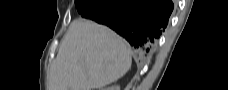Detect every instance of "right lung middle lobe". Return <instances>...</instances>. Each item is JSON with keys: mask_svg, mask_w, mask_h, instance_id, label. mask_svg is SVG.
<instances>
[{"mask_svg": "<svg viewBox=\"0 0 228 90\" xmlns=\"http://www.w3.org/2000/svg\"><path fill=\"white\" fill-rule=\"evenodd\" d=\"M104 2V0H75V5L78 12L83 17L88 13H94L97 11L104 4Z\"/></svg>", "mask_w": 228, "mask_h": 90, "instance_id": "right-lung-middle-lobe-1", "label": "right lung middle lobe"}]
</instances>
